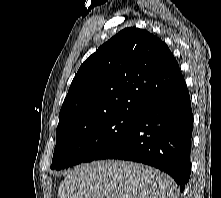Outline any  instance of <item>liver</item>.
<instances>
[{"label": "liver", "instance_id": "liver-1", "mask_svg": "<svg viewBox=\"0 0 221 198\" xmlns=\"http://www.w3.org/2000/svg\"><path fill=\"white\" fill-rule=\"evenodd\" d=\"M178 186L153 167L128 161H93L74 168L58 198H177Z\"/></svg>", "mask_w": 221, "mask_h": 198}]
</instances>
